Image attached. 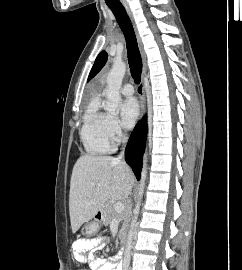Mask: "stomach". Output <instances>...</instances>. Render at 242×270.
Instances as JSON below:
<instances>
[{"instance_id": "obj_1", "label": "stomach", "mask_w": 242, "mask_h": 270, "mask_svg": "<svg viewBox=\"0 0 242 270\" xmlns=\"http://www.w3.org/2000/svg\"><path fill=\"white\" fill-rule=\"evenodd\" d=\"M101 214H102L101 220H96V221H94V222H91V223L86 224V225L82 228V230H81L82 234H85V235H92V234H94V233L97 232L98 227H99V223H100V222L103 220V218H104V211H101Z\"/></svg>"}]
</instances>
